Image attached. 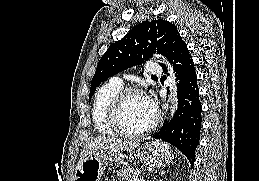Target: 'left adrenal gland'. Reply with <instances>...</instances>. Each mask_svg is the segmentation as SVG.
Instances as JSON below:
<instances>
[{"mask_svg":"<svg viewBox=\"0 0 259 181\" xmlns=\"http://www.w3.org/2000/svg\"><path fill=\"white\" fill-rule=\"evenodd\" d=\"M163 174H164V172H161V173L159 174V176H162ZM155 180H156V177H154L152 181H155Z\"/></svg>","mask_w":259,"mask_h":181,"instance_id":"obj_1","label":"left adrenal gland"}]
</instances>
